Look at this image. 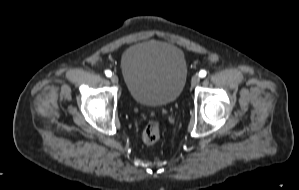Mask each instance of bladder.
<instances>
[{
    "label": "bladder",
    "instance_id": "bladder-1",
    "mask_svg": "<svg viewBox=\"0 0 299 190\" xmlns=\"http://www.w3.org/2000/svg\"><path fill=\"white\" fill-rule=\"evenodd\" d=\"M121 70L131 97L145 106L172 103L187 79V60L183 51L162 41H143L122 55Z\"/></svg>",
    "mask_w": 299,
    "mask_h": 190
}]
</instances>
